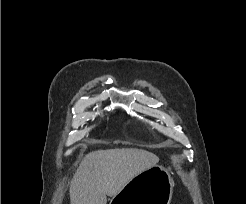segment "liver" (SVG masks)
<instances>
[{"mask_svg":"<svg viewBox=\"0 0 246 204\" xmlns=\"http://www.w3.org/2000/svg\"><path fill=\"white\" fill-rule=\"evenodd\" d=\"M159 157L135 148L97 150L85 155L70 184L71 204H106Z\"/></svg>","mask_w":246,"mask_h":204,"instance_id":"obj_1","label":"liver"}]
</instances>
